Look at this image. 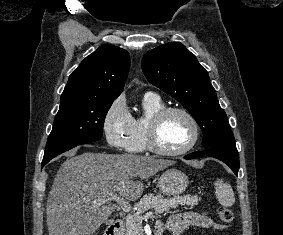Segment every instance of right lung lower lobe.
<instances>
[{
    "label": "right lung lower lobe",
    "mask_w": 283,
    "mask_h": 235,
    "mask_svg": "<svg viewBox=\"0 0 283 235\" xmlns=\"http://www.w3.org/2000/svg\"><path fill=\"white\" fill-rule=\"evenodd\" d=\"M48 162H42V167L45 165V164H47Z\"/></svg>",
    "instance_id": "right-lung-lower-lobe-1"
}]
</instances>
